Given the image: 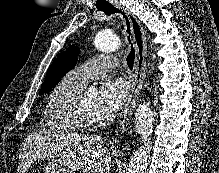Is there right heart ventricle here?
I'll use <instances>...</instances> for the list:
<instances>
[{"instance_id": "1", "label": "right heart ventricle", "mask_w": 219, "mask_h": 173, "mask_svg": "<svg viewBox=\"0 0 219 173\" xmlns=\"http://www.w3.org/2000/svg\"><path fill=\"white\" fill-rule=\"evenodd\" d=\"M82 88L67 77L53 88L44 110L45 122L50 130L72 134L85 129L73 112V102Z\"/></svg>"}]
</instances>
